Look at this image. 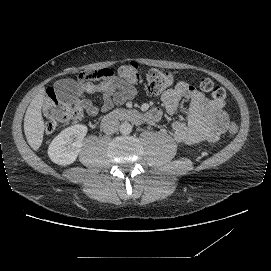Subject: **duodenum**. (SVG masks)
<instances>
[{"label":"duodenum","mask_w":271,"mask_h":271,"mask_svg":"<svg viewBox=\"0 0 271 271\" xmlns=\"http://www.w3.org/2000/svg\"><path fill=\"white\" fill-rule=\"evenodd\" d=\"M117 120H127L134 123H142L144 121V116L132 109L113 110L106 114L102 119L101 125L104 131H111Z\"/></svg>","instance_id":"410a0bca"}]
</instances>
